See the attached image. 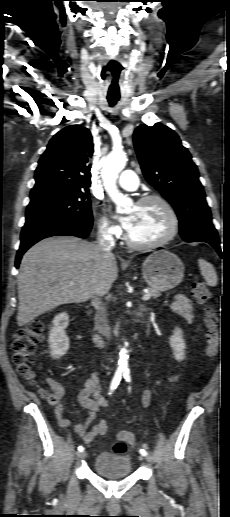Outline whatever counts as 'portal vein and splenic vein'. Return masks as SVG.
<instances>
[{
  "label": "portal vein and splenic vein",
  "mask_w": 230,
  "mask_h": 517,
  "mask_svg": "<svg viewBox=\"0 0 230 517\" xmlns=\"http://www.w3.org/2000/svg\"><path fill=\"white\" fill-rule=\"evenodd\" d=\"M150 297H151V295H150V293L148 292V293H146V294H144V295H143L142 299H143V301H147Z\"/></svg>",
  "instance_id": "obj_1"
}]
</instances>
